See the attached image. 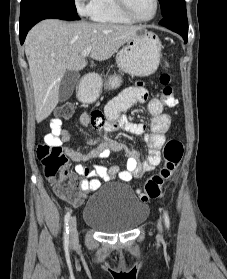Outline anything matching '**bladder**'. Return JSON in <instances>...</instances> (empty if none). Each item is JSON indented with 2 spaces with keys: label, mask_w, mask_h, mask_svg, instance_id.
Returning a JSON list of instances; mask_svg holds the SVG:
<instances>
[{
  "label": "bladder",
  "mask_w": 227,
  "mask_h": 279,
  "mask_svg": "<svg viewBox=\"0 0 227 279\" xmlns=\"http://www.w3.org/2000/svg\"><path fill=\"white\" fill-rule=\"evenodd\" d=\"M101 186L87 201L83 221L101 232L115 233L137 228L147 218L149 208L127 186Z\"/></svg>",
  "instance_id": "31cf9c89"
}]
</instances>
